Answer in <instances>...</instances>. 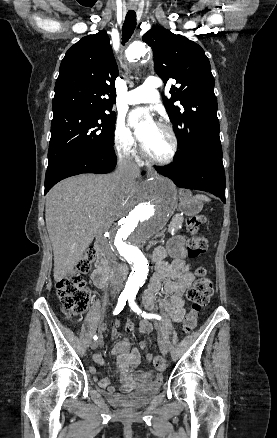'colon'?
Segmentation results:
<instances>
[{
    "mask_svg": "<svg viewBox=\"0 0 277 438\" xmlns=\"http://www.w3.org/2000/svg\"><path fill=\"white\" fill-rule=\"evenodd\" d=\"M205 223L206 218L203 216H193L185 222L187 231L193 234L187 243V255L190 258H199L206 253L207 238L199 232ZM84 253L87 258L78 263L77 270L61 278L55 287L62 307L73 320L78 319L84 313L90 298V291L80 274L89 271L91 261L96 260L99 250L97 248H86ZM195 275V281L187 292L191 311L182 322L181 332L183 335H187L192 331L201 307L208 304L213 294V283L208 277L206 269L198 267L195 270ZM154 363L158 369H162L164 366V360L160 356L154 359Z\"/></svg>",
    "mask_w": 277,
    "mask_h": 438,
    "instance_id": "1",
    "label": "colon"
}]
</instances>
